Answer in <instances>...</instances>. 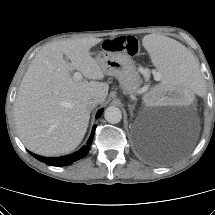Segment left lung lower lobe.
I'll return each mask as SVG.
<instances>
[{"label": "left lung lower lobe", "instance_id": "left-lung-lower-lobe-1", "mask_svg": "<svg viewBox=\"0 0 215 215\" xmlns=\"http://www.w3.org/2000/svg\"><path fill=\"white\" fill-rule=\"evenodd\" d=\"M140 151L144 156H146L149 159H155L158 160L159 152L156 148L153 146L147 145V144H141L140 145Z\"/></svg>", "mask_w": 215, "mask_h": 215}]
</instances>
